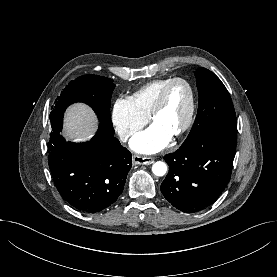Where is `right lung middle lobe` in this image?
Wrapping results in <instances>:
<instances>
[{
    "label": "right lung middle lobe",
    "instance_id": "1",
    "mask_svg": "<svg viewBox=\"0 0 277 277\" xmlns=\"http://www.w3.org/2000/svg\"><path fill=\"white\" fill-rule=\"evenodd\" d=\"M115 88L113 80L97 75H84L71 81L61 93L58 102L51 111L50 119L65 111L74 102L88 104L97 114L99 121L112 125L110 119V101Z\"/></svg>",
    "mask_w": 277,
    "mask_h": 277
}]
</instances>
